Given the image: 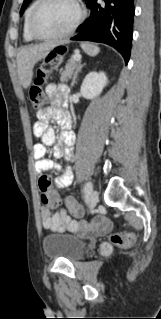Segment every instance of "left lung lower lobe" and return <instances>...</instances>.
<instances>
[{
	"mask_svg": "<svg viewBox=\"0 0 161 319\" xmlns=\"http://www.w3.org/2000/svg\"><path fill=\"white\" fill-rule=\"evenodd\" d=\"M89 0L90 17L82 23L71 40L94 41L108 44L122 54L128 63L132 45L134 0Z\"/></svg>",
	"mask_w": 161,
	"mask_h": 319,
	"instance_id": "0a47b994",
	"label": "left lung lower lobe"
}]
</instances>
